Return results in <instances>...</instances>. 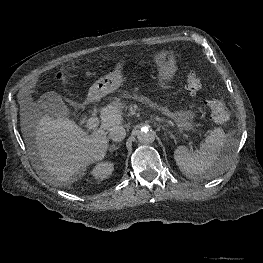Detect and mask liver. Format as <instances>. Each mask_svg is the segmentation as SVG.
Instances as JSON below:
<instances>
[{
	"label": "liver",
	"instance_id": "6515ba94",
	"mask_svg": "<svg viewBox=\"0 0 263 263\" xmlns=\"http://www.w3.org/2000/svg\"><path fill=\"white\" fill-rule=\"evenodd\" d=\"M20 117L24 135L34 128L35 168L45 171L56 186L73 183L87 166L101 161L107 153V131L123 121L121 107L109 104L101 110L100 127L88 134L68 118L41 115L29 100L22 101Z\"/></svg>",
	"mask_w": 263,
	"mask_h": 263
}]
</instances>
